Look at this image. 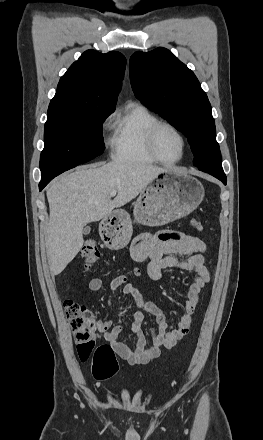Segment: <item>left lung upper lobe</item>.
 <instances>
[{
	"mask_svg": "<svg viewBox=\"0 0 263 440\" xmlns=\"http://www.w3.org/2000/svg\"><path fill=\"white\" fill-rule=\"evenodd\" d=\"M129 71L135 96L188 138L199 170L223 173L211 105L193 71L162 47L135 52Z\"/></svg>",
	"mask_w": 263,
	"mask_h": 440,
	"instance_id": "5c2ea615",
	"label": "left lung upper lobe"
}]
</instances>
